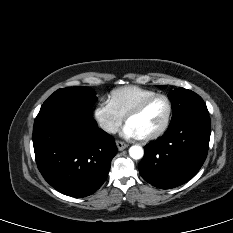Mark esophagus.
I'll return each instance as SVG.
<instances>
[{
  "label": "esophagus",
  "mask_w": 233,
  "mask_h": 233,
  "mask_svg": "<svg viewBox=\"0 0 233 233\" xmlns=\"http://www.w3.org/2000/svg\"><path fill=\"white\" fill-rule=\"evenodd\" d=\"M116 145H117V148L119 151H122L129 146L127 143H124V142L119 141V140L116 141Z\"/></svg>",
  "instance_id": "esophagus-1"
}]
</instances>
